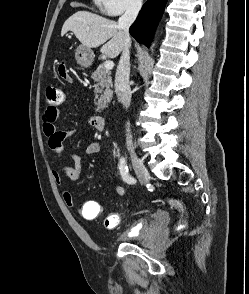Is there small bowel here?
Returning <instances> with one entry per match:
<instances>
[{
	"mask_svg": "<svg viewBox=\"0 0 249 294\" xmlns=\"http://www.w3.org/2000/svg\"><path fill=\"white\" fill-rule=\"evenodd\" d=\"M61 76V75H60ZM67 82H72V78L67 73L64 76H61ZM57 119H58V108L57 106H47L42 112L41 116V125L43 133L47 139V146L54 157L59 168H52L51 176L55 183L61 185L63 182V174L72 182H79L81 179V158L77 153H72L69 155L70 159L74 162V165H67L62 162V155L64 150V141L74 136L79 129L72 130H59L57 128ZM91 125V121H89ZM83 151L87 155H94L100 151V143L96 140L88 142ZM116 194L120 197L125 196L126 189L121 185H116L114 188ZM65 204L69 208L76 207V201L73 195L64 191L62 194ZM99 204L95 201H86L83 203L80 215L86 220H92L97 218L100 213L95 212V209ZM163 213L161 211L157 212V216H161ZM120 221L119 214L113 213L109 214L104 219V225L107 229H115Z\"/></svg>",
	"mask_w": 249,
	"mask_h": 294,
	"instance_id": "small-bowel-1",
	"label": "small bowel"
}]
</instances>
